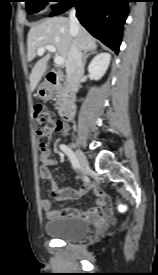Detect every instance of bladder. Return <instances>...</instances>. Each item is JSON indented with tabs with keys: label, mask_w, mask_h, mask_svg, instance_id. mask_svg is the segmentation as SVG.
Here are the masks:
<instances>
[{
	"label": "bladder",
	"mask_w": 158,
	"mask_h": 275,
	"mask_svg": "<svg viewBox=\"0 0 158 275\" xmlns=\"http://www.w3.org/2000/svg\"><path fill=\"white\" fill-rule=\"evenodd\" d=\"M46 234L53 238L75 241L85 238L90 230L89 223L76 216H59L44 223Z\"/></svg>",
	"instance_id": "obj_1"
}]
</instances>
